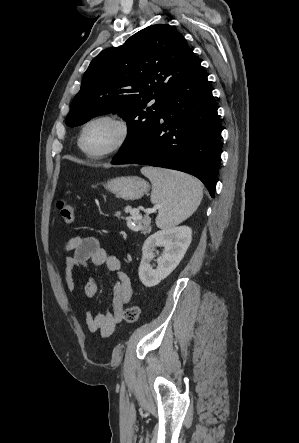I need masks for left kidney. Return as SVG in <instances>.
I'll return each mask as SVG.
<instances>
[{
  "mask_svg": "<svg viewBox=\"0 0 299 443\" xmlns=\"http://www.w3.org/2000/svg\"><path fill=\"white\" fill-rule=\"evenodd\" d=\"M192 240V230L188 226L163 229L150 235L144 242L143 256L139 266V278L146 287H153L165 279L178 266ZM157 247H164L157 259V268L151 261Z\"/></svg>",
  "mask_w": 299,
  "mask_h": 443,
  "instance_id": "obj_1",
  "label": "left kidney"
}]
</instances>
